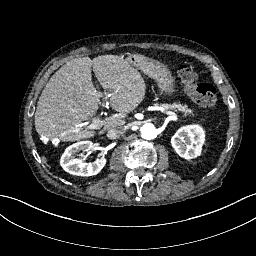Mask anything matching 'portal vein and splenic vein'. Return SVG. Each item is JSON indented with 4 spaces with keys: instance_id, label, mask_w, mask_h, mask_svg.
Listing matches in <instances>:
<instances>
[{
    "instance_id": "obj_1",
    "label": "portal vein and splenic vein",
    "mask_w": 256,
    "mask_h": 256,
    "mask_svg": "<svg viewBox=\"0 0 256 256\" xmlns=\"http://www.w3.org/2000/svg\"><path fill=\"white\" fill-rule=\"evenodd\" d=\"M109 108V104H108V99L107 97H103V100L101 102V110L102 113L99 114L98 116H96L93 120L92 123L87 125V123H82L80 124L79 128H81L82 126H86L84 129L85 130H90V129H100L102 126V121H101V117L102 114L105 113L103 110L104 108ZM160 110L164 112L165 115H171V117H174L175 119H179V116L176 115L175 113L171 112L170 110H167L166 107H160Z\"/></svg>"
}]
</instances>
